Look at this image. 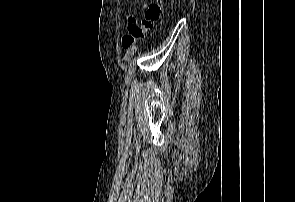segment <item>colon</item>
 I'll return each mask as SVG.
<instances>
[{
	"label": "colon",
	"instance_id": "1",
	"mask_svg": "<svg viewBox=\"0 0 295 202\" xmlns=\"http://www.w3.org/2000/svg\"><path fill=\"white\" fill-rule=\"evenodd\" d=\"M164 9V0H156L152 3L145 13V17L140 25L131 23L127 33L122 37V45L124 48H130L144 34L153 29L155 23L159 21Z\"/></svg>",
	"mask_w": 295,
	"mask_h": 202
}]
</instances>
